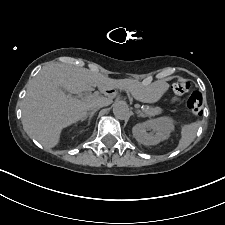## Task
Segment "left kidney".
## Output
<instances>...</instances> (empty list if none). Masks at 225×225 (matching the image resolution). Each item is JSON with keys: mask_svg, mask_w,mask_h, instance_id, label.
Masks as SVG:
<instances>
[{"mask_svg": "<svg viewBox=\"0 0 225 225\" xmlns=\"http://www.w3.org/2000/svg\"><path fill=\"white\" fill-rule=\"evenodd\" d=\"M173 129L174 124L171 118L160 117L136 124L132 128V133L139 143L149 146L168 139ZM148 130H152L153 133H148Z\"/></svg>", "mask_w": 225, "mask_h": 225, "instance_id": "left-kidney-1", "label": "left kidney"}]
</instances>
